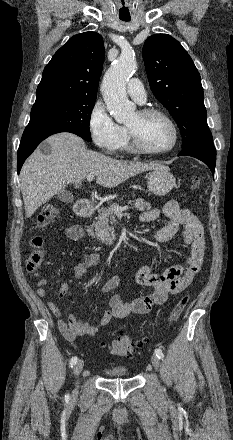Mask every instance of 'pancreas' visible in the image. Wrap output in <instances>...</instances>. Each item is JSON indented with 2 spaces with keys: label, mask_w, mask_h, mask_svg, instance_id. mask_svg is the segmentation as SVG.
Returning <instances> with one entry per match:
<instances>
[{
  "label": "pancreas",
  "mask_w": 233,
  "mask_h": 440,
  "mask_svg": "<svg viewBox=\"0 0 233 440\" xmlns=\"http://www.w3.org/2000/svg\"><path fill=\"white\" fill-rule=\"evenodd\" d=\"M132 202H134V204L129 201V203L132 204L133 207L138 211H146L152 208L149 202H146L141 198H138ZM116 206L119 205L116 204ZM115 223L116 219L113 206L108 208L102 207L98 209V219L97 222L93 225L95 231L94 234L96 235L97 239L106 243L115 240V230L114 227H112V225Z\"/></svg>",
  "instance_id": "pancreas-1"
}]
</instances>
